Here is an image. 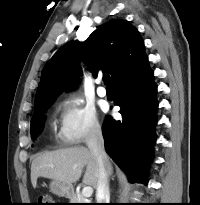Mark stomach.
I'll return each instance as SVG.
<instances>
[{
	"label": "stomach",
	"mask_w": 200,
	"mask_h": 205,
	"mask_svg": "<svg viewBox=\"0 0 200 205\" xmlns=\"http://www.w3.org/2000/svg\"><path fill=\"white\" fill-rule=\"evenodd\" d=\"M50 191L59 197H70L72 195V186L57 180H52L50 183Z\"/></svg>",
	"instance_id": "1"
}]
</instances>
